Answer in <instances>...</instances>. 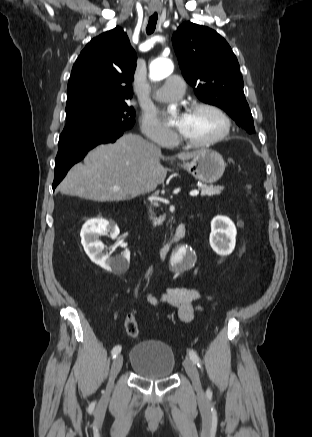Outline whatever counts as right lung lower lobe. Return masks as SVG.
Wrapping results in <instances>:
<instances>
[{
    "label": "right lung lower lobe",
    "mask_w": 312,
    "mask_h": 437,
    "mask_svg": "<svg viewBox=\"0 0 312 437\" xmlns=\"http://www.w3.org/2000/svg\"><path fill=\"white\" fill-rule=\"evenodd\" d=\"M123 135V132L96 137L82 143L76 144L70 148L59 149L55 160V177L53 182V190L65 177L68 170L77 162L85 157L87 152L103 143H113L117 138Z\"/></svg>",
    "instance_id": "right-lung-lower-lobe-1"
}]
</instances>
